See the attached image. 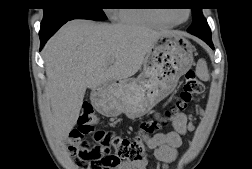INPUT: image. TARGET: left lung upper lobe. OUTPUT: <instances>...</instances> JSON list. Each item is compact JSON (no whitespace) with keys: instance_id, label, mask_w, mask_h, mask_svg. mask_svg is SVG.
I'll use <instances>...</instances> for the list:
<instances>
[{"instance_id":"left-lung-upper-lobe-1","label":"left lung upper lobe","mask_w":252,"mask_h":169,"mask_svg":"<svg viewBox=\"0 0 252 169\" xmlns=\"http://www.w3.org/2000/svg\"><path fill=\"white\" fill-rule=\"evenodd\" d=\"M193 22L192 25L188 28L191 31L204 32L210 31V28L207 24L206 19L202 15V8L196 7L192 9Z\"/></svg>"}]
</instances>
